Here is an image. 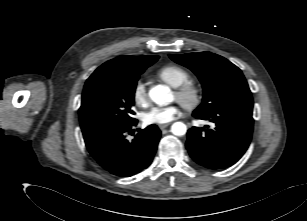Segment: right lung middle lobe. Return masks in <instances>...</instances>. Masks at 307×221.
<instances>
[{"label":"right lung middle lobe","mask_w":307,"mask_h":221,"mask_svg":"<svg viewBox=\"0 0 307 221\" xmlns=\"http://www.w3.org/2000/svg\"><path fill=\"white\" fill-rule=\"evenodd\" d=\"M150 65L104 72L88 78L79 109L85 142L107 130L136 121L132 117L135 114L132 107L137 80Z\"/></svg>","instance_id":"1"}]
</instances>
